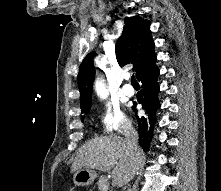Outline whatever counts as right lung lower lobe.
Instances as JSON below:
<instances>
[{
	"instance_id": "right-lung-lower-lobe-1",
	"label": "right lung lower lobe",
	"mask_w": 221,
	"mask_h": 191,
	"mask_svg": "<svg viewBox=\"0 0 221 191\" xmlns=\"http://www.w3.org/2000/svg\"><path fill=\"white\" fill-rule=\"evenodd\" d=\"M158 76L159 69L156 66V61L137 76V79L142 83V90L137 93V101L142 104V108L145 110V116H137L139 145L144 151L150 147L156 122V111L160 107L157 97L159 92ZM135 107L136 103L132 107L134 111Z\"/></svg>"
}]
</instances>
